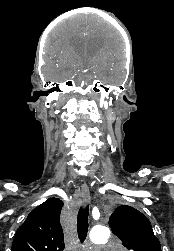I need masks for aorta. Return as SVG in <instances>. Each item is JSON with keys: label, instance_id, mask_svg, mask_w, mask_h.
I'll use <instances>...</instances> for the list:
<instances>
[{"label": "aorta", "instance_id": "762f6f07", "mask_svg": "<svg viewBox=\"0 0 174 251\" xmlns=\"http://www.w3.org/2000/svg\"><path fill=\"white\" fill-rule=\"evenodd\" d=\"M110 238V231L106 226L98 225L94 227L90 233V241L93 244H105Z\"/></svg>", "mask_w": 174, "mask_h": 251}]
</instances>
